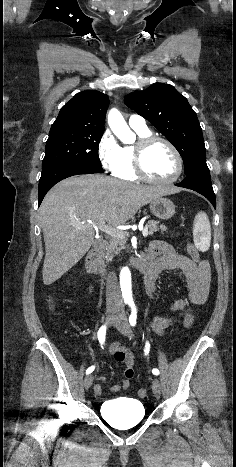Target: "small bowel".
I'll return each mask as SVG.
<instances>
[{
	"mask_svg": "<svg viewBox=\"0 0 236 467\" xmlns=\"http://www.w3.org/2000/svg\"><path fill=\"white\" fill-rule=\"evenodd\" d=\"M144 261L151 267L155 273L152 281H145V290L147 295L152 298L155 293V281L159 273L165 270H180L186 277L189 288V298L176 300L172 306L173 310L180 315H186L191 312L190 304L195 306L204 305L209 298L211 290V268L206 260L195 261L187 256L179 255L174 248L163 241H153L144 257ZM173 322L171 317H157L152 322V328L157 333H162ZM111 353L115 355L121 352L124 358L117 360L124 365L125 378L111 387L114 393L130 388L131 379L134 376V354L131 350L114 345L111 347ZM98 380L106 381L105 376H99ZM96 395L103 394V388L97 384L94 387Z\"/></svg>",
	"mask_w": 236,
	"mask_h": 467,
	"instance_id": "small-bowel-1",
	"label": "small bowel"
}]
</instances>
